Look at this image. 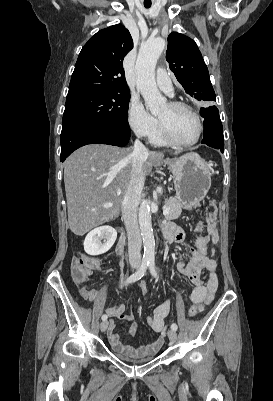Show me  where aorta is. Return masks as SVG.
<instances>
[{"instance_id": "obj_1", "label": "aorta", "mask_w": 273, "mask_h": 401, "mask_svg": "<svg viewBox=\"0 0 273 401\" xmlns=\"http://www.w3.org/2000/svg\"><path fill=\"white\" fill-rule=\"evenodd\" d=\"M165 41L155 38L147 41L141 48L136 61L137 88L144 98L146 108L153 114H159L166 104L155 81L157 61L164 50ZM139 225L144 245V257L153 260L155 257V239L151 223L150 200L142 201L139 208Z\"/></svg>"}]
</instances>
